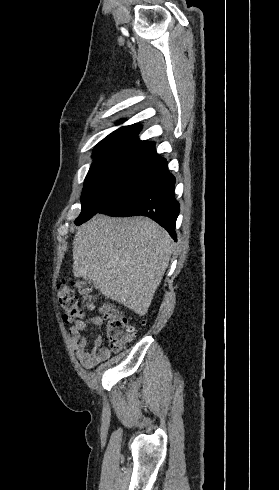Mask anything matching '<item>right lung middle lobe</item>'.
I'll return each mask as SVG.
<instances>
[{
	"label": "right lung middle lobe",
	"instance_id": "right-lung-middle-lobe-1",
	"mask_svg": "<svg viewBox=\"0 0 279 490\" xmlns=\"http://www.w3.org/2000/svg\"><path fill=\"white\" fill-rule=\"evenodd\" d=\"M160 167L159 164L128 161L93 164L85 179L81 195V213L75 220V224L81 225L98 213L111 194L126 186L146 180Z\"/></svg>",
	"mask_w": 279,
	"mask_h": 490
}]
</instances>
